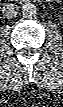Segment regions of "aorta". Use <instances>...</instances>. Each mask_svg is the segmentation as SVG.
Wrapping results in <instances>:
<instances>
[{"instance_id": "1", "label": "aorta", "mask_w": 63, "mask_h": 107, "mask_svg": "<svg viewBox=\"0 0 63 107\" xmlns=\"http://www.w3.org/2000/svg\"><path fill=\"white\" fill-rule=\"evenodd\" d=\"M22 14L25 17H33L37 14V7L31 2H26L22 6Z\"/></svg>"}]
</instances>
